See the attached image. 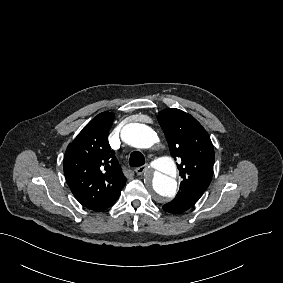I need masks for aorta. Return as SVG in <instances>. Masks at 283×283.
I'll return each mask as SVG.
<instances>
[{
	"label": "aorta",
	"instance_id": "obj_1",
	"mask_svg": "<svg viewBox=\"0 0 283 283\" xmlns=\"http://www.w3.org/2000/svg\"><path fill=\"white\" fill-rule=\"evenodd\" d=\"M121 137L127 144L135 148H150L158 142L157 134L147 125L131 123L123 127ZM154 167L156 170L147 184L161 197L173 198L177 191V182L173 175L176 166L171 157L158 158Z\"/></svg>",
	"mask_w": 283,
	"mask_h": 283
}]
</instances>
